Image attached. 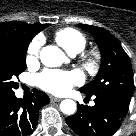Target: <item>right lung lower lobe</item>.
Segmentation results:
<instances>
[{
    "label": "right lung lower lobe",
    "instance_id": "right-lung-lower-lobe-1",
    "mask_svg": "<svg viewBox=\"0 0 136 136\" xmlns=\"http://www.w3.org/2000/svg\"><path fill=\"white\" fill-rule=\"evenodd\" d=\"M49 103V97L34 90L27 99L16 98L15 93L0 95V136H27L38 123L37 112Z\"/></svg>",
    "mask_w": 136,
    "mask_h": 136
}]
</instances>
